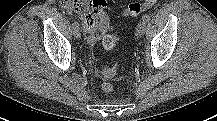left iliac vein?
<instances>
[{
	"mask_svg": "<svg viewBox=\"0 0 217 121\" xmlns=\"http://www.w3.org/2000/svg\"><path fill=\"white\" fill-rule=\"evenodd\" d=\"M145 31H146V23L139 22L136 28V35L141 37L144 35Z\"/></svg>",
	"mask_w": 217,
	"mask_h": 121,
	"instance_id": "obj_1",
	"label": "left iliac vein"
}]
</instances>
